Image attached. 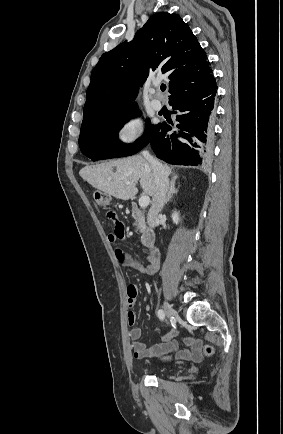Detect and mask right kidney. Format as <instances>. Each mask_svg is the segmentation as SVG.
Segmentation results:
<instances>
[{
  "instance_id": "ca27d5eb",
  "label": "right kidney",
  "mask_w": 283,
  "mask_h": 434,
  "mask_svg": "<svg viewBox=\"0 0 283 434\" xmlns=\"http://www.w3.org/2000/svg\"><path fill=\"white\" fill-rule=\"evenodd\" d=\"M172 220L177 225L179 222V212L174 211L172 213Z\"/></svg>"
}]
</instances>
